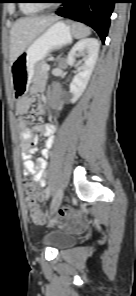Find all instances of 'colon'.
Segmentation results:
<instances>
[{"instance_id":"obj_1","label":"colon","mask_w":136,"mask_h":296,"mask_svg":"<svg viewBox=\"0 0 136 296\" xmlns=\"http://www.w3.org/2000/svg\"><path fill=\"white\" fill-rule=\"evenodd\" d=\"M23 187L27 206L32 219L36 223L43 224L46 219L39 208V201L42 199V193L40 189L29 180H25L23 182ZM71 217H74V213L70 208L66 207L59 211L57 220L59 222H63Z\"/></svg>"}]
</instances>
